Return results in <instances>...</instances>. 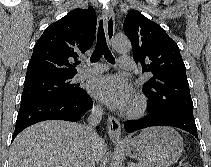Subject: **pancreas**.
<instances>
[{
	"instance_id": "cf45deb5",
	"label": "pancreas",
	"mask_w": 211,
	"mask_h": 167,
	"mask_svg": "<svg viewBox=\"0 0 211 167\" xmlns=\"http://www.w3.org/2000/svg\"><path fill=\"white\" fill-rule=\"evenodd\" d=\"M128 167H144L142 164H137V163H129Z\"/></svg>"
}]
</instances>
